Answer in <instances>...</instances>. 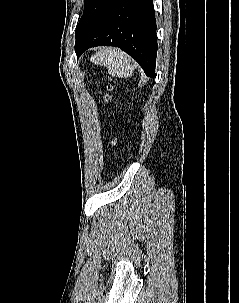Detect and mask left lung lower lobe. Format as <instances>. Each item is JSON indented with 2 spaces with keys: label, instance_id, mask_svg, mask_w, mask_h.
<instances>
[{
  "label": "left lung lower lobe",
  "instance_id": "1",
  "mask_svg": "<svg viewBox=\"0 0 239 303\" xmlns=\"http://www.w3.org/2000/svg\"><path fill=\"white\" fill-rule=\"evenodd\" d=\"M117 46L155 77L157 39L152 0H117L80 46V56L94 46Z\"/></svg>",
  "mask_w": 239,
  "mask_h": 303
}]
</instances>
